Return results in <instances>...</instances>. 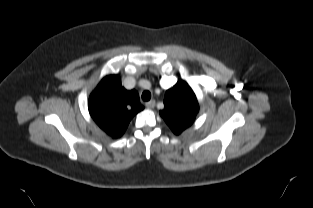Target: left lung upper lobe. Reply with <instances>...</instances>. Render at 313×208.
<instances>
[{"label": "left lung upper lobe", "instance_id": "left-lung-upper-lobe-1", "mask_svg": "<svg viewBox=\"0 0 313 208\" xmlns=\"http://www.w3.org/2000/svg\"><path fill=\"white\" fill-rule=\"evenodd\" d=\"M164 105L160 115L176 135L192 125L199 111L194 92L183 80L167 90Z\"/></svg>", "mask_w": 313, "mask_h": 208}]
</instances>
